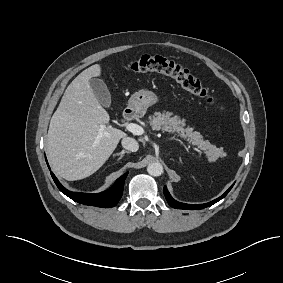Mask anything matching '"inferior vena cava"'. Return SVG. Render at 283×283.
Segmentation results:
<instances>
[{
	"mask_svg": "<svg viewBox=\"0 0 283 283\" xmlns=\"http://www.w3.org/2000/svg\"><path fill=\"white\" fill-rule=\"evenodd\" d=\"M121 143L122 146L129 151L136 152L139 149L138 142L131 137H124Z\"/></svg>",
	"mask_w": 283,
	"mask_h": 283,
	"instance_id": "602c4592",
	"label": "inferior vena cava"
}]
</instances>
